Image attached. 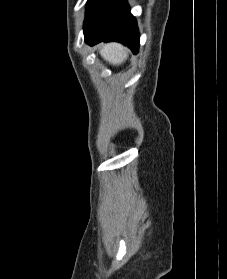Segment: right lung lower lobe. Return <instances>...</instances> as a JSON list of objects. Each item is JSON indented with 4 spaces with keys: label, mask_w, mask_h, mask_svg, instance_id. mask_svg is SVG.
Segmentation results:
<instances>
[{
    "label": "right lung lower lobe",
    "mask_w": 227,
    "mask_h": 279,
    "mask_svg": "<svg viewBox=\"0 0 227 279\" xmlns=\"http://www.w3.org/2000/svg\"><path fill=\"white\" fill-rule=\"evenodd\" d=\"M84 36L90 45L116 41L138 52L140 34L126 0H93L86 11Z\"/></svg>",
    "instance_id": "98d812e1"
}]
</instances>
